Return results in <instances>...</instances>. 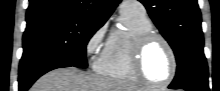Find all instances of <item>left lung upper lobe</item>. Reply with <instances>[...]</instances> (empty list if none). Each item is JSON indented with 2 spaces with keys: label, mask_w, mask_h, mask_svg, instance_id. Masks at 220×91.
I'll list each match as a JSON object with an SVG mask.
<instances>
[{
  "label": "left lung upper lobe",
  "mask_w": 220,
  "mask_h": 91,
  "mask_svg": "<svg viewBox=\"0 0 220 91\" xmlns=\"http://www.w3.org/2000/svg\"><path fill=\"white\" fill-rule=\"evenodd\" d=\"M163 37L172 47L177 72L170 86L208 87L203 52L201 13L197 0H140Z\"/></svg>",
  "instance_id": "1"
}]
</instances>
